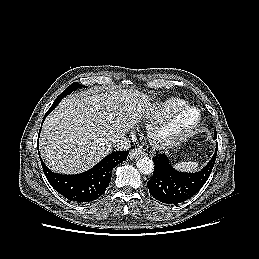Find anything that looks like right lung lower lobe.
<instances>
[{"mask_svg":"<svg viewBox=\"0 0 259 259\" xmlns=\"http://www.w3.org/2000/svg\"><path fill=\"white\" fill-rule=\"evenodd\" d=\"M50 112L47 111L45 117ZM128 154L129 151L113 152L90 170L75 175L57 174L52 172L42 160L41 164L49 183L57 192L69 200L82 203L93 201L105 192L110 183L113 168L125 161Z\"/></svg>","mask_w":259,"mask_h":259,"instance_id":"98d812e1","label":"right lung lower lobe"}]
</instances>
